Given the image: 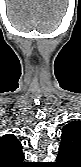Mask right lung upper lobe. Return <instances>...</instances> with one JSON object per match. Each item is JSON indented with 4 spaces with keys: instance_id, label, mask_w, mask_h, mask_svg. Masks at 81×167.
<instances>
[{
    "instance_id": "obj_1",
    "label": "right lung upper lobe",
    "mask_w": 81,
    "mask_h": 167,
    "mask_svg": "<svg viewBox=\"0 0 81 167\" xmlns=\"http://www.w3.org/2000/svg\"><path fill=\"white\" fill-rule=\"evenodd\" d=\"M24 154L22 144L13 134H6L0 138V167H21Z\"/></svg>"
}]
</instances>
